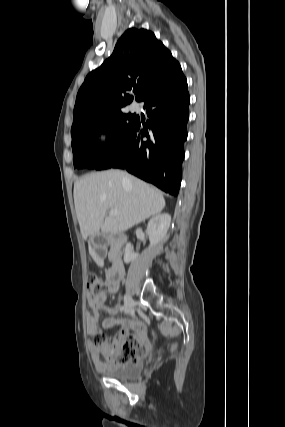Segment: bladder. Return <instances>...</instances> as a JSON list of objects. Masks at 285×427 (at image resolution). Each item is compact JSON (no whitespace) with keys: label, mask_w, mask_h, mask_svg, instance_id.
<instances>
[{"label":"bladder","mask_w":285,"mask_h":427,"mask_svg":"<svg viewBox=\"0 0 285 427\" xmlns=\"http://www.w3.org/2000/svg\"><path fill=\"white\" fill-rule=\"evenodd\" d=\"M143 365L132 362L118 367H110L105 374L113 379L129 380L138 377L142 373Z\"/></svg>","instance_id":"obj_1"}]
</instances>
